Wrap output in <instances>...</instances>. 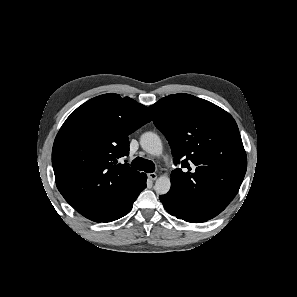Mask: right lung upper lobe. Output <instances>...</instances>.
Listing matches in <instances>:
<instances>
[{
	"label": "right lung upper lobe",
	"instance_id": "obj_1",
	"mask_svg": "<svg viewBox=\"0 0 297 297\" xmlns=\"http://www.w3.org/2000/svg\"><path fill=\"white\" fill-rule=\"evenodd\" d=\"M151 121L147 107L109 93L79 106L60 128L52 149L58 190L84 217L99 222L140 176L120 158L128 135Z\"/></svg>",
	"mask_w": 297,
	"mask_h": 297
}]
</instances>
